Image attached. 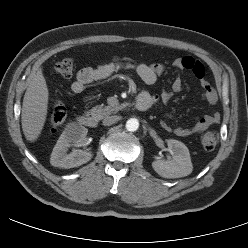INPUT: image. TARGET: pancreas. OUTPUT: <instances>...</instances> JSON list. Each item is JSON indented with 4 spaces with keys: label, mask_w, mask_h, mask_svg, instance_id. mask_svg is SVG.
<instances>
[{
    "label": "pancreas",
    "mask_w": 248,
    "mask_h": 248,
    "mask_svg": "<svg viewBox=\"0 0 248 248\" xmlns=\"http://www.w3.org/2000/svg\"><path fill=\"white\" fill-rule=\"evenodd\" d=\"M125 107V104H118L115 106H96L93 107L92 109H90L89 113L92 117L96 118V119H101L103 117H105L106 115H109L113 112H117L119 110H121L122 108Z\"/></svg>",
    "instance_id": "1"
}]
</instances>
